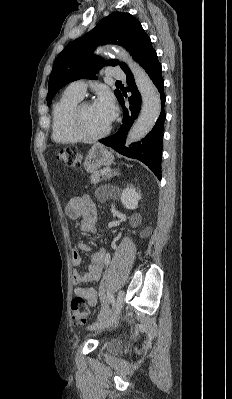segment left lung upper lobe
Here are the masks:
<instances>
[{"label": "left lung upper lobe", "instance_id": "1", "mask_svg": "<svg viewBox=\"0 0 232 399\" xmlns=\"http://www.w3.org/2000/svg\"><path fill=\"white\" fill-rule=\"evenodd\" d=\"M151 41L140 22L129 13L114 12L102 19L83 37L70 42L57 56L49 77L47 103L51 104L56 92L69 82L80 78L96 79L95 74L104 65H120L126 73L129 68L119 60L104 61L93 50L101 44L123 46L135 59L138 52ZM117 99L121 92L115 90Z\"/></svg>", "mask_w": 232, "mask_h": 399}]
</instances>
